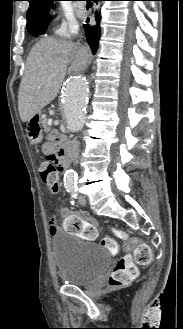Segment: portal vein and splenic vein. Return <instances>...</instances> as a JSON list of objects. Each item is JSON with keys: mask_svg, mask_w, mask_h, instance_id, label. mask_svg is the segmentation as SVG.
<instances>
[{"mask_svg": "<svg viewBox=\"0 0 183 329\" xmlns=\"http://www.w3.org/2000/svg\"><path fill=\"white\" fill-rule=\"evenodd\" d=\"M47 123H48V125H51V124H52V119H49V120L47 121Z\"/></svg>", "mask_w": 183, "mask_h": 329, "instance_id": "obj_1", "label": "portal vein and splenic vein"}]
</instances>
